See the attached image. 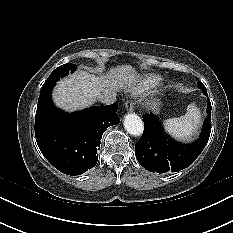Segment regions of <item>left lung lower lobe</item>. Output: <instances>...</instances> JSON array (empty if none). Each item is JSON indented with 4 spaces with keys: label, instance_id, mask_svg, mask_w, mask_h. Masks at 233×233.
I'll return each mask as SVG.
<instances>
[{
    "label": "left lung lower lobe",
    "instance_id": "1",
    "mask_svg": "<svg viewBox=\"0 0 233 233\" xmlns=\"http://www.w3.org/2000/svg\"><path fill=\"white\" fill-rule=\"evenodd\" d=\"M203 93L207 96L206 88ZM207 117L200 138L190 145H184L168 137L153 114H144V132L135 144L138 162L150 172H176L189 167L203 151L211 132V103H208Z\"/></svg>",
    "mask_w": 233,
    "mask_h": 233
}]
</instances>
